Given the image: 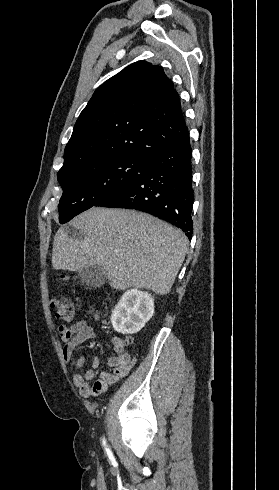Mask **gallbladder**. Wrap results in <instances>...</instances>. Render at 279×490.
Returning <instances> with one entry per match:
<instances>
[{
	"mask_svg": "<svg viewBox=\"0 0 279 490\" xmlns=\"http://www.w3.org/2000/svg\"><path fill=\"white\" fill-rule=\"evenodd\" d=\"M82 284L88 288H101L107 282V276L102 266H87L78 272Z\"/></svg>",
	"mask_w": 279,
	"mask_h": 490,
	"instance_id": "gallbladder-1",
	"label": "gallbladder"
}]
</instances>
